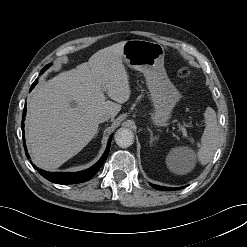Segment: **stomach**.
<instances>
[{
  "label": "stomach",
  "instance_id": "obj_1",
  "mask_svg": "<svg viewBox=\"0 0 247 247\" xmlns=\"http://www.w3.org/2000/svg\"><path fill=\"white\" fill-rule=\"evenodd\" d=\"M164 56L163 46L152 41L132 39L123 47V62L145 76L154 107L152 120L157 125H164L170 119L181 97L166 74Z\"/></svg>",
  "mask_w": 247,
  "mask_h": 247
}]
</instances>
